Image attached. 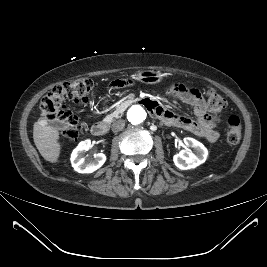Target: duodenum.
Segmentation results:
<instances>
[{
  "mask_svg": "<svg viewBox=\"0 0 267 267\" xmlns=\"http://www.w3.org/2000/svg\"><path fill=\"white\" fill-rule=\"evenodd\" d=\"M149 104L151 105V103L149 102ZM108 124L105 122H97L95 124L92 125L91 127V133L94 136H103L108 132Z\"/></svg>",
  "mask_w": 267,
  "mask_h": 267,
  "instance_id": "410a0bca",
  "label": "duodenum"
}]
</instances>
